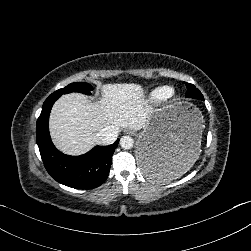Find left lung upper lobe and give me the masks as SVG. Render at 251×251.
I'll list each match as a JSON object with an SVG mask.
<instances>
[{
  "label": "left lung upper lobe",
  "instance_id": "left-lung-upper-lobe-1",
  "mask_svg": "<svg viewBox=\"0 0 251 251\" xmlns=\"http://www.w3.org/2000/svg\"><path fill=\"white\" fill-rule=\"evenodd\" d=\"M187 87L186 97L204 100L202 93L192 84L185 83Z\"/></svg>",
  "mask_w": 251,
  "mask_h": 251
}]
</instances>
